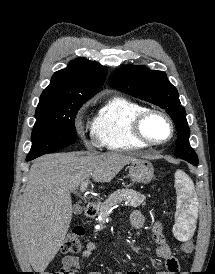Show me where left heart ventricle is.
I'll list each match as a JSON object with an SVG mask.
<instances>
[{"mask_svg":"<svg viewBox=\"0 0 215 274\" xmlns=\"http://www.w3.org/2000/svg\"><path fill=\"white\" fill-rule=\"evenodd\" d=\"M144 131L151 140L160 142L169 137L170 127L163 117L151 115L144 124Z\"/></svg>","mask_w":215,"mask_h":274,"instance_id":"b2bd125f","label":"left heart ventricle"}]
</instances>
